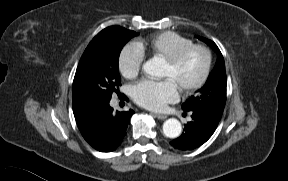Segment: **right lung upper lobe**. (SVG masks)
Returning a JSON list of instances; mask_svg holds the SVG:
<instances>
[{
    "mask_svg": "<svg viewBox=\"0 0 288 181\" xmlns=\"http://www.w3.org/2000/svg\"><path fill=\"white\" fill-rule=\"evenodd\" d=\"M105 105L95 103L73 91V113L85 140L93 138L98 117Z\"/></svg>",
    "mask_w": 288,
    "mask_h": 181,
    "instance_id": "right-lung-upper-lobe-1",
    "label": "right lung upper lobe"
}]
</instances>
